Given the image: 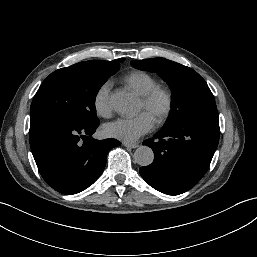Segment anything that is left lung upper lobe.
I'll return each mask as SVG.
<instances>
[{
	"mask_svg": "<svg viewBox=\"0 0 257 257\" xmlns=\"http://www.w3.org/2000/svg\"><path fill=\"white\" fill-rule=\"evenodd\" d=\"M131 65L137 69L156 72L171 87L172 110L164 126L216 108L207 83L193 69L164 58L132 60Z\"/></svg>",
	"mask_w": 257,
	"mask_h": 257,
	"instance_id": "1",
	"label": "left lung upper lobe"
}]
</instances>
